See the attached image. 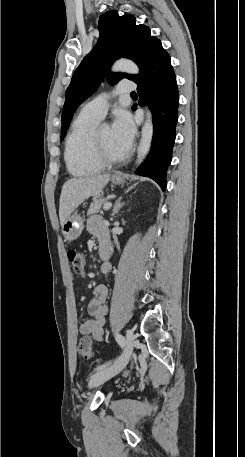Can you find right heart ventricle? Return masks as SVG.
Here are the masks:
<instances>
[{"label": "right heart ventricle", "instance_id": "e07e8e85", "mask_svg": "<svg viewBox=\"0 0 245 457\" xmlns=\"http://www.w3.org/2000/svg\"><path fill=\"white\" fill-rule=\"evenodd\" d=\"M97 119L79 115L70 127L65 143V160L69 171L75 176H81L100 169L91 164L85 157V139L88 132L94 128Z\"/></svg>", "mask_w": 245, "mask_h": 457}]
</instances>
